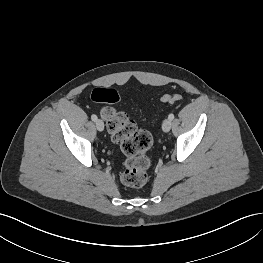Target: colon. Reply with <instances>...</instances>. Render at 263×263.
<instances>
[{"label":"colon","instance_id":"obj_1","mask_svg":"<svg viewBox=\"0 0 263 263\" xmlns=\"http://www.w3.org/2000/svg\"><path fill=\"white\" fill-rule=\"evenodd\" d=\"M92 100L102 105L100 115L113 142L119 144L127 157L120 173V179L126 186L139 188L148 180L150 160L146 152L152 145L151 134L140 129L136 122L125 112L115 110L111 105L119 101V95L112 88H96ZM182 99L179 94H167L162 97L164 103H176Z\"/></svg>","mask_w":263,"mask_h":263}]
</instances>
